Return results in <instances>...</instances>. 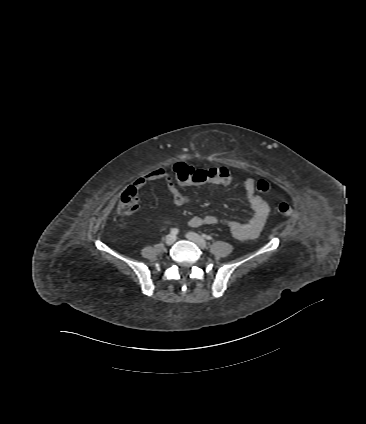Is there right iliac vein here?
Masks as SVG:
<instances>
[{"instance_id":"63e3f726","label":"right iliac vein","mask_w":366,"mask_h":424,"mask_svg":"<svg viewBox=\"0 0 366 424\" xmlns=\"http://www.w3.org/2000/svg\"><path fill=\"white\" fill-rule=\"evenodd\" d=\"M175 241H176V236L172 234L167 235L165 238V243L167 245H172Z\"/></svg>"}]
</instances>
